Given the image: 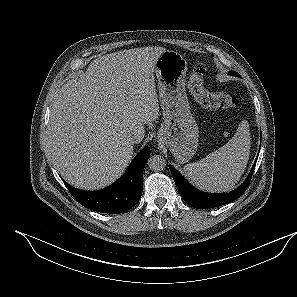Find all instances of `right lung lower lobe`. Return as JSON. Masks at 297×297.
Instances as JSON below:
<instances>
[{"mask_svg": "<svg viewBox=\"0 0 297 297\" xmlns=\"http://www.w3.org/2000/svg\"><path fill=\"white\" fill-rule=\"evenodd\" d=\"M149 156L150 148L146 146L118 181L100 191L78 190L63 181L73 197L84 207L101 213H122L132 208L142 195L143 170Z\"/></svg>", "mask_w": 297, "mask_h": 297, "instance_id": "obj_1", "label": "right lung lower lobe"}]
</instances>
